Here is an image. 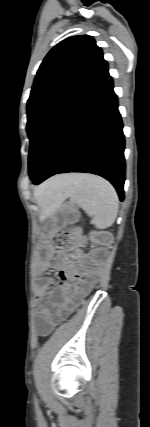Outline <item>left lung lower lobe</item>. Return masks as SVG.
<instances>
[{"instance_id":"obj_1","label":"left lung lower lobe","mask_w":150,"mask_h":427,"mask_svg":"<svg viewBox=\"0 0 150 427\" xmlns=\"http://www.w3.org/2000/svg\"><path fill=\"white\" fill-rule=\"evenodd\" d=\"M108 68L54 114L30 141L29 175L35 185L57 173L100 175L124 199V135Z\"/></svg>"}]
</instances>
